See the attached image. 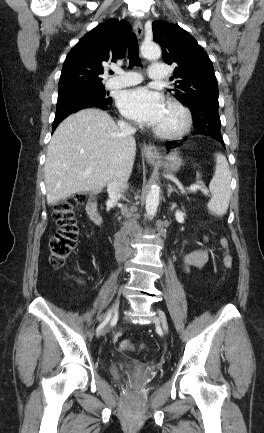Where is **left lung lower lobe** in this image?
<instances>
[{"mask_svg": "<svg viewBox=\"0 0 264 433\" xmlns=\"http://www.w3.org/2000/svg\"><path fill=\"white\" fill-rule=\"evenodd\" d=\"M191 111L196 133L209 136L224 145L220 132L221 121L218 114V106L212 104H200L195 106ZM176 142L177 141H169L166 143V147L171 149L172 146L176 145Z\"/></svg>", "mask_w": 264, "mask_h": 433, "instance_id": "left-lung-lower-lobe-1", "label": "left lung lower lobe"}]
</instances>
